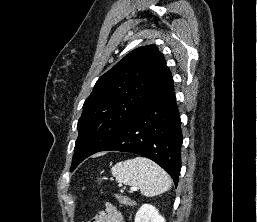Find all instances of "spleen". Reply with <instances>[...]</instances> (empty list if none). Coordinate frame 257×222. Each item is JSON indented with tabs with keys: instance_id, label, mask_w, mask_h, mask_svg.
<instances>
[{
	"instance_id": "1",
	"label": "spleen",
	"mask_w": 257,
	"mask_h": 222,
	"mask_svg": "<svg viewBox=\"0 0 257 222\" xmlns=\"http://www.w3.org/2000/svg\"><path fill=\"white\" fill-rule=\"evenodd\" d=\"M111 171L119 183L139 187L145 196L164 193L172 184L169 175L161 167L144 157L118 162Z\"/></svg>"
}]
</instances>
